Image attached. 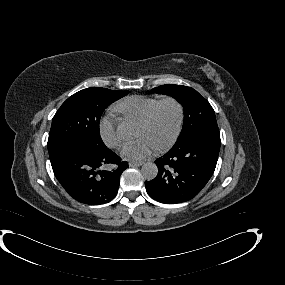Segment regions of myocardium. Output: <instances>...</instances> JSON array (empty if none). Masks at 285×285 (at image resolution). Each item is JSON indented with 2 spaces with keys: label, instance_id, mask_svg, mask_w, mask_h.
I'll list each match as a JSON object with an SVG mask.
<instances>
[{
  "label": "myocardium",
  "instance_id": "1",
  "mask_svg": "<svg viewBox=\"0 0 285 285\" xmlns=\"http://www.w3.org/2000/svg\"><path fill=\"white\" fill-rule=\"evenodd\" d=\"M167 104H173L176 106L177 118L174 127L170 132V134L168 135V137L165 140L155 144V146L158 149H165L169 147L176 140L182 129L183 119H184V108L181 102L171 97H167L160 100L151 117L142 125V130H149L150 128H152L159 119L161 109Z\"/></svg>",
  "mask_w": 285,
  "mask_h": 285
}]
</instances>
